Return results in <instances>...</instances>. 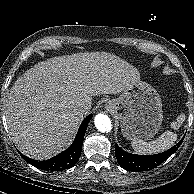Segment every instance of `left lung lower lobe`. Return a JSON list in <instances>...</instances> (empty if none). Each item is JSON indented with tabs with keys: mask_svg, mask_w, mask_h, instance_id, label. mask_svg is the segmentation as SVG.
I'll list each match as a JSON object with an SVG mask.
<instances>
[{
	"mask_svg": "<svg viewBox=\"0 0 194 194\" xmlns=\"http://www.w3.org/2000/svg\"><path fill=\"white\" fill-rule=\"evenodd\" d=\"M183 139L165 152L155 155H135L122 150L117 144L115 155L119 165L125 170L131 172H141L153 169L168 159L177 151L183 142Z\"/></svg>",
	"mask_w": 194,
	"mask_h": 194,
	"instance_id": "0a47b994",
	"label": "left lung lower lobe"
}]
</instances>
